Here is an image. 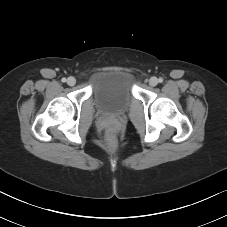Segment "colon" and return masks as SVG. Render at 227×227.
<instances>
[{"instance_id": "obj_1", "label": "colon", "mask_w": 227, "mask_h": 227, "mask_svg": "<svg viewBox=\"0 0 227 227\" xmlns=\"http://www.w3.org/2000/svg\"><path fill=\"white\" fill-rule=\"evenodd\" d=\"M115 147V138L112 132H107V149L112 151Z\"/></svg>"}]
</instances>
